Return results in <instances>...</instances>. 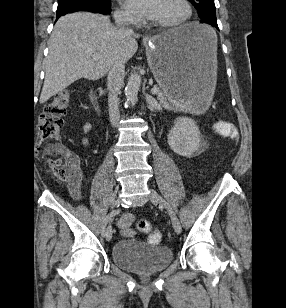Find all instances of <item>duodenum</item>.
Segmentation results:
<instances>
[{"instance_id": "obj_1", "label": "duodenum", "mask_w": 286, "mask_h": 308, "mask_svg": "<svg viewBox=\"0 0 286 308\" xmlns=\"http://www.w3.org/2000/svg\"><path fill=\"white\" fill-rule=\"evenodd\" d=\"M92 101H93V104H94V107L96 109V111L101 114L102 110H101V105L99 104L98 100H97V97L95 95V93H93V96H92Z\"/></svg>"}]
</instances>
